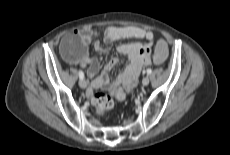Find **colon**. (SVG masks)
Wrapping results in <instances>:
<instances>
[{
  "mask_svg": "<svg viewBox=\"0 0 230 155\" xmlns=\"http://www.w3.org/2000/svg\"><path fill=\"white\" fill-rule=\"evenodd\" d=\"M71 46L75 49L76 53L81 52V42L79 39H74ZM168 54V47L164 40H158L154 48V62L157 64L163 63ZM121 93L119 91L113 92L109 95L97 93L93 98V104L96 112L100 115L107 113L116 101H120Z\"/></svg>",
  "mask_w": 230,
  "mask_h": 155,
  "instance_id": "obj_1",
  "label": "colon"
}]
</instances>
